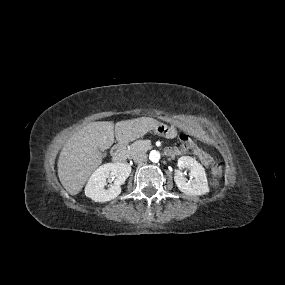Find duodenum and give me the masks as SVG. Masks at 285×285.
Returning a JSON list of instances; mask_svg holds the SVG:
<instances>
[{"label": "duodenum", "mask_w": 285, "mask_h": 285, "mask_svg": "<svg viewBox=\"0 0 285 285\" xmlns=\"http://www.w3.org/2000/svg\"><path fill=\"white\" fill-rule=\"evenodd\" d=\"M168 156H173V153L170 152ZM112 157L115 162H122L126 158L125 144H116L112 150Z\"/></svg>", "instance_id": "1"}]
</instances>
